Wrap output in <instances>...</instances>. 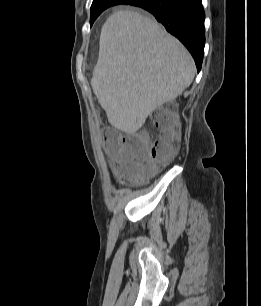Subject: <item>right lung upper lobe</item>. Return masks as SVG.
Wrapping results in <instances>:
<instances>
[{
	"mask_svg": "<svg viewBox=\"0 0 261 306\" xmlns=\"http://www.w3.org/2000/svg\"><path fill=\"white\" fill-rule=\"evenodd\" d=\"M100 1H105V0H93V3H96V2H100ZM128 0H126V2H127ZM125 2V3H126Z\"/></svg>",
	"mask_w": 261,
	"mask_h": 306,
	"instance_id": "cb5924a9",
	"label": "right lung upper lobe"
}]
</instances>
